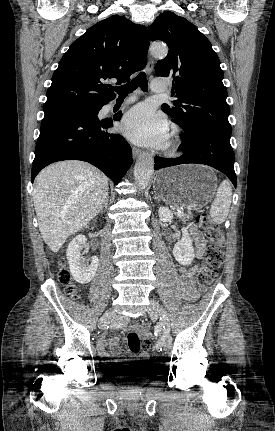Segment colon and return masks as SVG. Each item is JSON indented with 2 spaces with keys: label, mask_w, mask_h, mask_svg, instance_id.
Masks as SVG:
<instances>
[{
  "label": "colon",
  "mask_w": 275,
  "mask_h": 431,
  "mask_svg": "<svg viewBox=\"0 0 275 431\" xmlns=\"http://www.w3.org/2000/svg\"><path fill=\"white\" fill-rule=\"evenodd\" d=\"M197 226L208 236V246L205 258L197 274V282L200 289L204 291L217 277L218 269L224 260V234L221 228L214 224L206 213H199L196 217ZM59 279L65 285V292L73 299L78 298L76 288L71 284V276L67 269L61 264ZM127 345L129 350L135 354L147 356L153 348L150 340L141 341L135 331L127 334Z\"/></svg>",
  "instance_id": "5ec220e1"
}]
</instances>
